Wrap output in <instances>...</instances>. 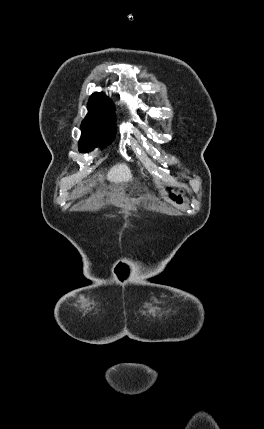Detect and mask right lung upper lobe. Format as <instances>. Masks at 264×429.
<instances>
[{
  "mask_svg": "<svg viewBox=\"0 0 264 429\" xmlns=\"http://www.w3.org/2000/svg\"><path fill=\"white\" fill-rule=\"evenodd\" d=\"M88 106H111L114 107L110 99L103 93L96 92L89 99Z\"/></svg>",
  "mask_w": 264,
  "mask_h": 429,
  "instance_id": "right-lung-upper-lobe-1",
  "label": "right lung upper lobe"
}]
</instances>
